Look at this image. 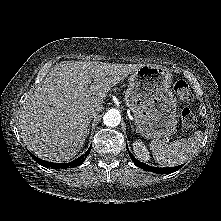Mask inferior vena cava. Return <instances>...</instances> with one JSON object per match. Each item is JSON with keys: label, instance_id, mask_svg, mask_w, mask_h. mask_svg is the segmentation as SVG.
I'll return each instance as SVG.
<instances>
[{"label": "inferior vena cava", "instance_id": "1", "mask_svg": "<svg viewBox=\"0 0 221 221\" xmlns=\"http://www.w3.org/2000/svg\"><path fill=\"white\" fill-rule=\"evenodd\" d=\"M99 112H100V109L98 108H90L88 110L89 118H93V116H96Z\"/></svg>", "mask_w": 221, "mask_h": 221}]
</instances>
